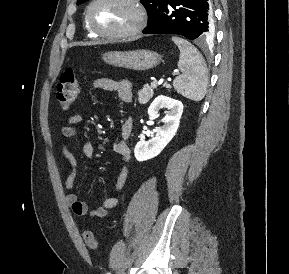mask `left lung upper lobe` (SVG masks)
<instances>
[{"mask_svg":"<svg viewBox=\"0 0 289 274\" xmlns=\"http://www.w3.org/2000/svg\"><path fill=\"white\" fill-rule=\"evenodd\" d=\"M88 0H78L77 5L85 3ZM165 0H140L144 5L148 13V24L155 20V18L160 14L162 5Z\"/></svg>","mask_w":289,"mask_h":274,"instance_id":"5c2ea615","label":"left lung upper lobe"}]
</instances>
